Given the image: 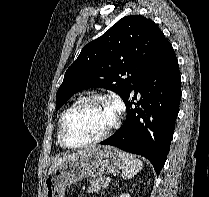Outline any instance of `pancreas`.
I'll return each instance as SVG.
<instances>
[{
    "instance_id": "pancreas-1",
    "label": "pancreas",
    "mask_w": 209,
    "mask_h": 197,
    "mask_svg": "<svg viewBox=\"0 0 209 197\" xmlns=\"http://www.w3.org/2000/svg\"><path fill=\"white\" fill-rule=\"evenodd\" d=\"M89 193H98L99 191H103L108 187V182H106V179L103 177L97 178V179H91L89 181Z\"/></svg>"
}]
</instances>
